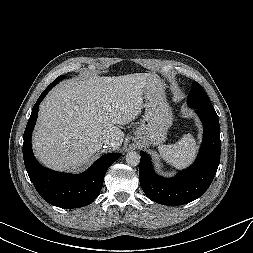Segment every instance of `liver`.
Wrapping results in <instances>:
<instances>
[{
  "instance_id": "6515ba94",
  "label": "liver",
  "mask_w": 253,
  "mask_h": 253,
  "mask_svg": "<svg viewBox=\"0 0 253 253\" xmlns=\"http://www.w3.org/2000/svg\"><path fill=\"white\" fill-rule=\"evenodd\" d=\"M160 81L156 74L134 73L60 83L40 104L32 137L35 156L51 169L74 171L102 148L104 135L114 139L107 146L118 149L124 139L118 126L140 114L145 88Z\"/></svg>"
}]
</instances>
